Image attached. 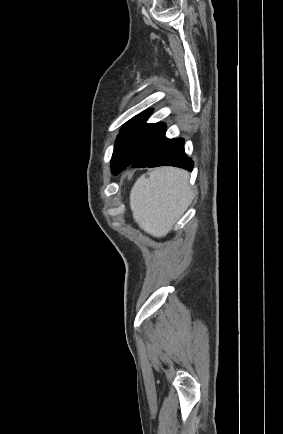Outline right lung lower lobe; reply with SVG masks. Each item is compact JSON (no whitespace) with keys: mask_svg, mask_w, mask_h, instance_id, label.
I'll use <instances>...</instances> for the list:
<instances>
[{"mask_svg":"<svg viewBox=\"0 0 283 434\" xmlns=\"http://www.w3.org/2000/svg\"><path fill=\"white\" fill-rule=\"evenodd\" d=\"M193 161L184 151V139L161 137L131 166L133 168L177 166L192 171Z\"/></svg>","mask_w":283,"mask_h":434,"instance_id":"98d812e1","label":"right lung lower lobe"}]
</instances>
